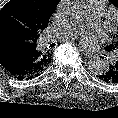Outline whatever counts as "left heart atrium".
Segmentation results:
<instances>
[{"label":"left heart atrium","mask_w":118,"mask_h":118,"mask_svg":"<svg viewBox=\"0 0 118 118\" xmlns=\"http://www.w3.org/2000/svg\"><path fill=\"white\" fill-rule=\"evenodd\" d=\"M97 36L103 37V32L97 33H88V32H82L79 37L84 42H92L97 40Z\"/></svg>","instance_id":"left-heart-atrium-1"}]
</instances>
